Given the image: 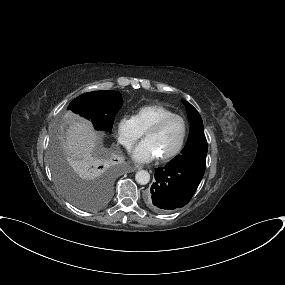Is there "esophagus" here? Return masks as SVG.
Instances as JSON below:
<instances>
[{
  "label": "esophagus",
  "instance_id": "34e87169",
  "mask_svg": "<svg viewBox=\"0 0 285 285\" xmlns=\"http://www.w3.org/2000/svg\"><path fill=\"white\" fill-rule=\"evenodd\" d=\"M142 169L141 165H135V167L128 168V172H134L136 170Z\"/></svg>",
  "mask_w": 285,
  "mask_h": 285
}]
</instances>
